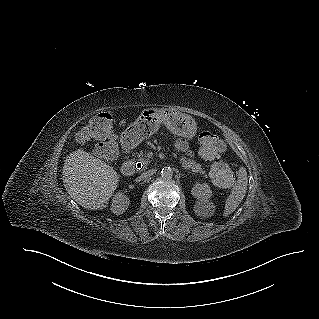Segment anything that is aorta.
Listing matches in <instances>:
<instances>
[{"mask_svg":"<svg viewBox=\"0 0 319 319\" xmlns=\"http://www.w3.org/2000/svg\"><path fill=\"white\" fill-rule=\"evenodd\" d=\"M173 176V170L171 167H164L161 171V177L163 179H171Z\"/></svg>","mask_w":319,"mask_h":319,"instance_id":"aorta-1","label":"aorta"}]
</instances>
